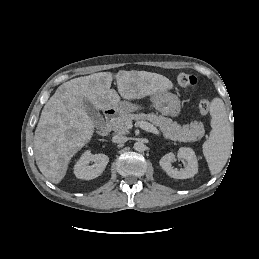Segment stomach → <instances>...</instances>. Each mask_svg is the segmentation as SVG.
Listing matches in <instances>:
<instances>
[{
  "label": "stomach",
  "mask_w": 259,
  "mask_h": 259,
  "mask_svg": "<svg viewBox=\"0 0 259 259\" xmlns=\"http://www.w3.org/2000/svg\"><path fill=\"white\" fill-rule=\"evenodd\" d=\"M152 106L165 116L177 117L181 110L179 98L170 92H161L151 95ZM118 114L124 115L140 109L138 104L128 101L119 102L115 107Z\"/></svg>",
  "instance_id": "obj_1"
}]
</instances>
